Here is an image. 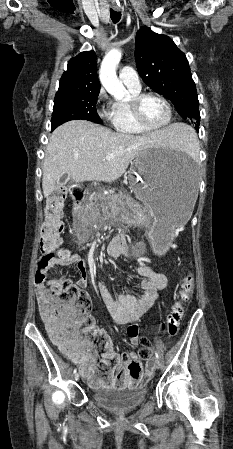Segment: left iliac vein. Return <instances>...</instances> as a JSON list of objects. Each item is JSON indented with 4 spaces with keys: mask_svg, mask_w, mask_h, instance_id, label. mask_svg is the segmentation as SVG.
Wrapping results in <instances>:
<instances>
[{
    "mask_svg": "<svg viewBox=\"0 0 233 449\" xmlns=\"http://www.w3.org/2000/svg\"><path fill=\"white\" fill-rule=\"evenodd\" d=\"M154 366H155L156 369H160L161 368V362L158 359H155Z\"/></svg>",
    "mask_w": 233,
    "mask_h": 449,
    "instance_id": "1",
    "label": "left iliac vein"
}]
</instances>
